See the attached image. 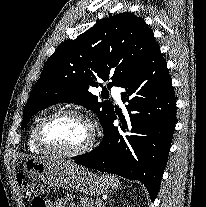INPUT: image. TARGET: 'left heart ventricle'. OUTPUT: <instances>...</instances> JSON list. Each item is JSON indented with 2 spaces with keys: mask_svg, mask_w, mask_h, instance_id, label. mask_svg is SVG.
<instances>
[{
  "mask_svg": "<svg viewBox=\"0 0 206 207\" xmlns=\"http://www.w3.org/2000/svg\"><path fill=\"white\" fill-rule=\"evenodd\" d=\"M41 135L50 146L72 151L88 143L91 138V130L83 120L65 117L47 124Z\"/></svg>",
  "mask_w": 206,
  "mask_h": 207,
  "instance_id": "left-heart-ventricle-1",
  "label": "left heart ventricle"
}]
</instances>
